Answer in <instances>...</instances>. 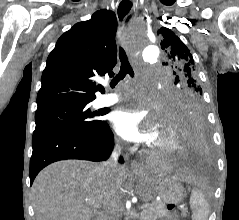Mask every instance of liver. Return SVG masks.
Returning <instances> with one entry per match:
<instances>
[{
    "mask_svg": "<svg viewBox=\"0 0 239 220\" xmlns=\"http://www.w3.org/2000/svg\"><path fill=\"white\" fill-rule=\"evenodd\" d=\"M161 170L164 166L153 173ZM127 175L125 167H118L109 179L101 164L83 160L55 162L37 175L32 186L36 220H93L95 210L102 206L107 214H114L118 188ZM173 177L192 180L185 170H177Z\"/></svg>",
    "mask_w": 239,
    "mask_h": 220,
    "instance_id": "6515ba94",
    "label": "liver"
}]
</instances>
